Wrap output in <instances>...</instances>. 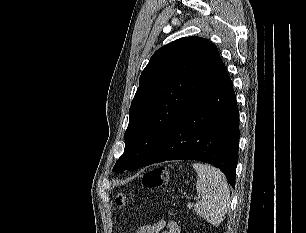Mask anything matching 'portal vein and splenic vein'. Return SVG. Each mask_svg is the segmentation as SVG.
Masks as SVG:
<instances>
[{
	"mask_svg": "<svg viewBox=\"0 0 306 233\" xmlns=\"http://www.w3.org/2000/svg\"><path fill=\"white\" fill-rule=\"evenodd\" d=\"M195 198H196V199H199V196H196Z\"/></svg>",
	"mask_w": 306,
	"mask_h": 233,
	"instance_id": "portal-vein-and-splenic-vein-1",
	"label": "portal vein and splenic vein"
}]
</instances>
